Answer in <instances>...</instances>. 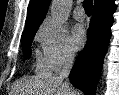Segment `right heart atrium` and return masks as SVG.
Wrapping results in <instances>:
<instances>
[{
    "label": "right heart atrium",
    "instance_id": "1",
    "mask_svg": "<svg viewBox=\"0 0 119 95\" xmlns=\"http://www.w3.org/2000/svg\"><path fill=\"white\" fill-rule=\"evenodd\" d=\"M37 38L51 70H59L74 60L75 51L64 27L47 20L41 25Z\"/></svg>",
    "mask_w": 119,
    "mask_h": 95
}]
</instances>
